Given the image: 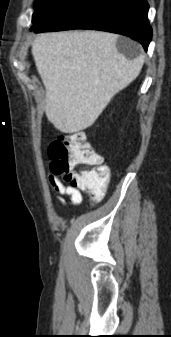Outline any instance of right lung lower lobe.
<instances>
[{"instance_id":"1","label":"right lung lower lobe","mask_w":171,"mask_h":337,"mask_svg":"<svg viewBox=\"0 0 171 337\" xmlns=\"http://www.w3.org/2000/svg\"><path fill=\"white\" fill-rule=\"evenodd\" d=\"M146 0H70L34 32L95 29L129 36L145 50L152 38Z\"/></svg>"}]
</instances>
